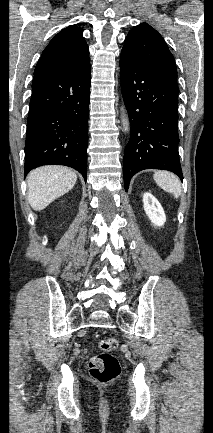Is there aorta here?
Returning a JSON list of instances; mask_svg holds the SVG:
<instances>
[{
	"instance_id": "1",
	"label": "aorta",
	"mask_w": 213,
	"mask_h": 433,
	"mask_svg": "<svg viewBox=\"0 0 213 433\" xmlns=\"http://www.w3.org/2000/svg\"><path fill=\"white\" fill-rule=\"evenodd\" d=\"M122 126L125 132L129 131V120L124 115L121 118Z\"/></svg>"
}]
</instances>
